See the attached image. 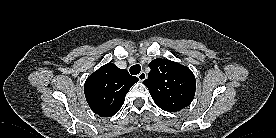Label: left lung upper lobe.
I'll list each match as a JSON object with an SVG mask.
<instances>
[{"label":"left lung upper lobe","mask_w":276,"mask_h":138,"mask_svg":"<svg viewBox=\"0 0 276 138\" xmlns=\"http://www.w3.org/2000/svg\"><path fill=\"white\" fill-rule=\"evenodd\" d=\"M149 67L151 72L143 83L161 109L176 112L192 102L196 81L189 68L167 59L152 60Z\"/></svg>","instance_id":"1"}]
</instances>
